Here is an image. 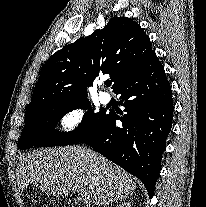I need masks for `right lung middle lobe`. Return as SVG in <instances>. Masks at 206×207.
I'll list each match as a JSON object with an SVG mask.
<instances>
[{"mask_svg": "<svg viewBox=\"0 0 206 207\" xmlns=\"http://www.w3.org/2000/svg\"><path fill=\"white\" fill-rule=\"evenodd\" d=\"M90 109L87 98L47 103L25 113L26 122L19 139V149L33 146H65L80 142L98 127L107 115L106 110L98 113L85 112L78 128L72 132L55 131V125L66 113L74 109Z\"/></svg>", "mask_w": 206, "mask_h": 207, "instance_id": "right-lung-middle-lobe-1", "label": "right lung middle lobe"}]
</instances>
